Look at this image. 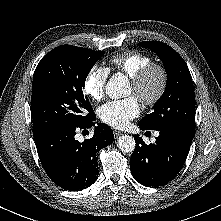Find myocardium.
<instances>
[{
  "label": "myocardium",
  "mask_w": 221,
  "mask_h": 221,
  "mask_svg": "<svg viewBox=\"0 0 221 221\" xmlns=\"http://www.w3.org/2000/svg\"><path fill=\"white\" fill-rule=\"evenodd\" d=\"M155 75L157 76L155 88L152 91H148L151 80ZM168 81L169 77L166 68L153 62L142 68L131 78L134 94L146 106H152L162 98L168 87Z\"/></svg>",
  "instance_id": "obj_1"
}]
</instances>
